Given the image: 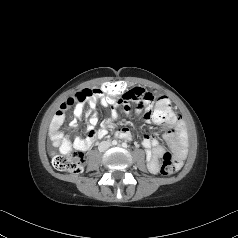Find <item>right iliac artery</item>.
<instances>
[{"label": "right iliac artery", "instance_id": "right-iliac-artery-1", "mask_svg": "<svg viewBox=\"0 0 238 238\" xmlns=\"http://www.w3.org/2000/svg\"><path fill=\"white\" fill-rule=\"evenodd\" d=\"M117 143H118V142H117L116 140H113V141H112V145H117Z\"/></svg>", "mask_w": 238, "mask_h": 238}]
</instances>
